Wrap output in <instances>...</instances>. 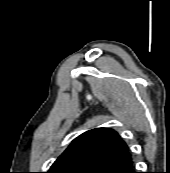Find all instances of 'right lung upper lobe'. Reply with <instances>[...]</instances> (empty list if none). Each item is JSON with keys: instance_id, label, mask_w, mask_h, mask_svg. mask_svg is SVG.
I'll return each instance as SVG.
<instances>
[{"instance_id": "1", "label": "right lung upper lobe", "mask_w": 170, "mask_h": 173, "mask_svg": "<svg viewBox=\"0 0 170 173\" xmlns=\"http://www.w3.org/2000/svg\"><path fill=\"white\" fill-rule=\"evenodd\" d=\"M129 159V148L116 131L96 128L74 139L47 173H104Z\"/></svg>"}]
</instances>
